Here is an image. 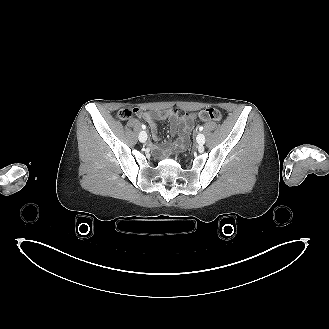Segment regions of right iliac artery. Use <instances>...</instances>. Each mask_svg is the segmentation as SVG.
Listing matches in <instances>:
<instances>
[{
	"label": "right iliac artery",
	"instance_id": "obj_1",
	"mask_svg": "<svg viewBox=\"0 0 329 329\" xmlns=\"http://www.w3.org/2000/svg\"><path fill=\"white\" fill-rule=\"evenodd\" d=\"M142 129H146V126L144 124L142 125Z\"/></svg>",
	"mask_w": 329,
	"mask_h": 329
}]
</instances>
